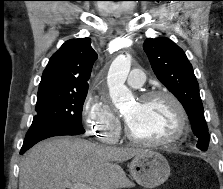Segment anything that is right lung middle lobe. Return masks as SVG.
<instances>
[{"label":"right lung middle lobe","mask_w":223,"mask_h":189,"mask_svg":"<svg viewBox=\"0 0 223 189\" xmlns=\"http://www.w3.org/2000/svg\"><path fill=\"white\" fill-rule=\"evenodd\" d=\"M87 92L88 89L38 93L33 122L61 124L83 134L81 114Z\"/></svg>","instance_id":"obj_1"}]
</instances>
